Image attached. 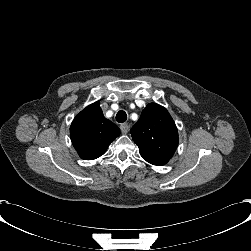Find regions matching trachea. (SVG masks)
I'll use <instances>...</instances> for the list:
<instances>
[{
  "label": "trachea",
  "instance_id": "obj_1",
  "mask_svg": "<svg viewBox=\"0 0 251 251\" xmlns=\"http://www.w3.org/2000/svg\"><path fill=\"white\" fill-rule=\"evenodd\" d=\"M127 120V114L125 111L120 110L118 111V113L116 114V121L119 123H123Z\"/></svg>",
  "mask_w": 251,
  "mask_h": 251
}]
</instances>
